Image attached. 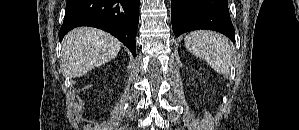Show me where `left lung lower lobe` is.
I'll return each mask as SVG.
<instances>
[{
  "instance_id": "left-lung-lower-lobe-1",
  "label": "left lung lower lobe",
  "mask_w": 299,
  "mask_h": 130,
  "mask_svg": "<svg viewBox=\"0 0 299 130\" xmlns=\"http://www.w3.org/2000/svg\"><path fill=\"white\" fill-rule=\"evenodd\" d=\"M172 28L176 37L197 29H209L235 42L227 0H171Z\"/></svg>"
}]
</instances>
